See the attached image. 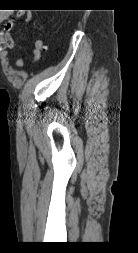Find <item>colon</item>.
Masks as SVG:
<instances>
[{
    "instance_id": "1",
    "label": "colon",
    "mask_w": 138,
    "mask_h": 253,
    "mask_svg": "<svg viewBox=\"0 0 138 253\" xmlns=\"http://www.w3.org/2000/svg\"><path fill=\"white\" fill-rule=\"evenodd\" d=\"M44 49H45V44H44L43 40L37 39L35 41L34 47H33V54H34V58L36 60H38L41 57Z\"/></svg>"
}]
</instances>
